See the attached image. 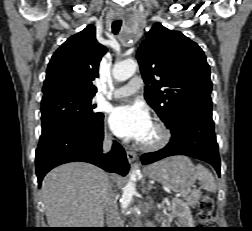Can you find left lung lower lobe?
Returning a JSON list of instances; mask_svg holds the SVG:
<instances>
[{"label":"left lung lower lobe","instance_id":"0a47b994","mask_svg":"<svg viewBox=\"0 0 252 231\" xmlns=\"http://www.w3.org/2000/svg\"><path fill=\"white\" fill-rule=\"evenodd\" d=\"M167 126L172 134L170 142L159 151L144 154L143 164L168 156L186 155L210 163L220 176V158L212 110L199 107L184 109Z\"/></svg>","mask_w":252,"mask_h":231}]
</instances>
